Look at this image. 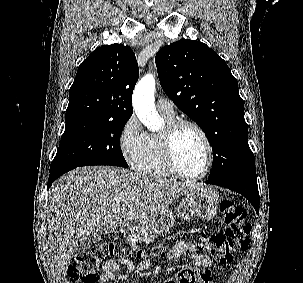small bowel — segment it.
I'll use <instances>...</instances> for the list:
<instances>
[{
    "label": "small bowel",
    "instance_id": "obj_1",
    "mask_svg": "<svg viewBox=\"0 0 303 283\" xmlns=\"http://www.w3.org/2000/svg\"><path fill=\"white\" fill-rule=\"evenodd\" d=\"M166 257L169 260H178L182 257H188L193 264L198 268H208L212 265V260L208 255L201 254L197 251L196 246L189 239L182 240L175 244L167 253ZM125 267L127 272L136 269L138 272H144L151 267L150 261H144L136 267L128 259L117 258L105 262L101 267V274L99 276V283H108L115 279L125 280L127 274L115 275L121 267ZM204 273L200 278V283H212V276L209 271L203 270Z\"/></svg>",
    "mask_w": 303,
    "mask_h": 283
}]
</instances>
